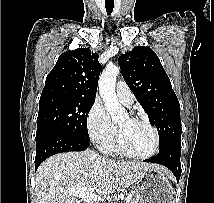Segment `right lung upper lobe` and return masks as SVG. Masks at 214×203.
<instances>
[{
  "instance_id": "1",
  "label": "right lung upper lobe",
  "mask_w": 214,
  "mask_h": 203,
  "mask_svg": "<svg viewBox=\"0 0 214 203\" xmlns=\"http://www.w3.org/2000/svg\"><path fill=\"white\" fill-rule=\"evenodd\" d=\"M99 55L87 48L67 51L59 56L47 75L40 99L71 97L94 99L101 72Z\"/></svg>"
}]
</instances>
